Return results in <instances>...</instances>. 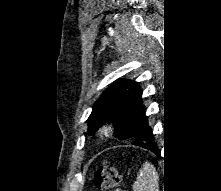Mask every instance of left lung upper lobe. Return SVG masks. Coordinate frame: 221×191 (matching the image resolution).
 I'll return each mask as SVG.
<instances>
[{"instance_id":"5c2ea615","label":"left lung upper lobe","mask_w":221,"mask_h":191,"mask_svg":"<svg viewBox=\"0 0 221 191\" xmlns=\"http://www.w3.org/2000/svg\"><path fill=\"white\" fill-rule=\"evenodd\" d=\"M131 80L123 79L107 88L94 103L88 118V134H94L103 121H110L115 125L114 135L120 139L132 138L134 145L145 147L156 144L155 138L147 140L141 132L136 130V123L131 114V96L133 93Z\"/></svg>"}]
</instances>
